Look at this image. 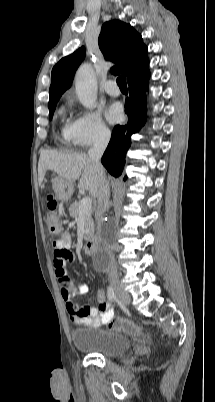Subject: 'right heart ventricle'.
<instances>
[{"label":"right heart ventricle","mask_w":215,"mask_h":402,"mask_svg":"<svg viewBox=\"0 0 215 402\" xmlns=\"http://www.w3.org/2000/svg\"><path fill=\"white\" fill-rule=\"evenodd\" d=\"M60 114L64 115L63 109L60 110ZM69 127H70V123L67 122L64 124V126L62 127V130H61L62 138L65 143H68L71 140Z\"/></svg>","instance_id":"e07e8e85"}]
</instances>
